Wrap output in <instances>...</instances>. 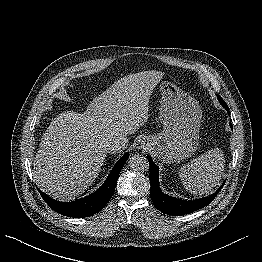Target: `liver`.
Returning <instances> with one entry per match:
<instances>
[{
	"instance_id": "obj_1",
	"label": "liver",
	"mask_w": 262,
	"mask_h": 262,
	"mask_svg": "<svg viewBox=\"0 0 262 262\" xmlns=\"http://www.w3.org/2000/svg\"><path fill=\"white\" fill-rule=\"evenodd\" d=\"M161 71L126 75L95 97L84 114L60 113L43 134L33 178L47 194L71 200L99 175L108 145L125 139L148 120L149 99Z\"/></svg>"
}]
</instances>
